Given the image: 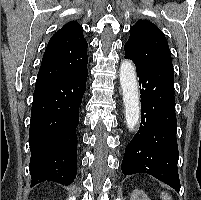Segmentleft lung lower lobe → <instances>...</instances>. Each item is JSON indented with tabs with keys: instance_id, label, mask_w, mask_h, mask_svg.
I'll list each match as a JSON object with an SVG mask.
<instances>
[{
	"instance_id": "0a47b994",
	"label": "left lung lower lobe",
	"mask_w": 201,
	"mask_h": 200,
	"mask_svg": "<svg viewBox=\"0 0 201 200\" xmlns=\"http://www.w3.org/2000/svg\"><path fill=\"white\" fill-rule=\"evenodd\" d=\"M141 124L125 149L124 175L148 173L180 190L174 71L170 66L138 67Z\"/></svg>"
}]
</instances>
